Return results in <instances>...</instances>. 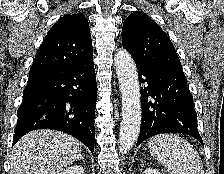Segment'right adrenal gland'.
<instances>
[{
	"mask_svg": "<svg viewBox=\"0 0 224 174\" xmlns=\"http://www.w3.org/2000/svg\"><path fill=\"white\" fill-rule=\"evenodd\" d=\"M78 159H80V160H82L83 162H85V159H84V157H83L82 155H80V157H79Z\"/></svg>",
	"mask_w": 224,
	"mask_h": 174,
	"instance_id": "2a0ac1e0",
	"label": "right adrenal gland"
}]
</instances>
